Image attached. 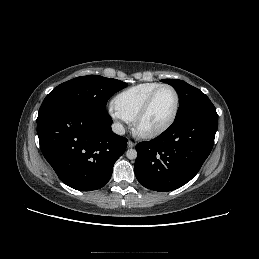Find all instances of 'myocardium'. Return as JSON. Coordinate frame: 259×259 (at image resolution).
<instances>
[{"mask_svg": "<svg viewBox=\"0 0 259 259\" xmlns=\"http://www.w3.org/2000/svg\"><path fill=\"white\" fill-rule=\"evenodd\" d=\"M163 88H169L174 93L175 105H174L173 112H172L171 116L169 117V119L160 127L156 128L154 130H151V131H143L140 128V124H141L142 120L145 118V116L148 114L156 94ZM179 106H180V96H179V93L176 90V88L170 84H160L158 87H156L150 93V95L147 97L146 101L144 102L143 106L141 107V109L139 110L137 115L135 116V118L133 120V127H134L135 133L138 136H140L142 138H146V139H151V138L160 136L165 131H167L174 123V121L178 115Z\"/></svg>", "mask_w": 259, "mask_h": 259, "instance_id": "obj_1", "label": "myocardium"}]
</instances>
